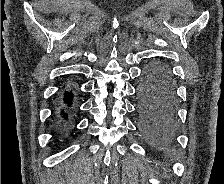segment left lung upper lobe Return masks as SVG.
Returning <instances> with one entry per match:
<instances>
[{
    "instance_id": "1",
    "label": "left lung upper lobe",
    "mask_w": 224,
    "mask_h": 184,
    "mask_svg": "<svg viewBox=\"0 0 224 184\" xmlns=\"http://www.w3.org/2000/svg\"><path fill=\"white\" fill-rule=\"evenodd\" d=\"M156 63L169 70V67L165 63H162V62H159V61H156Z\"/></svg>"
}]
</instances>
